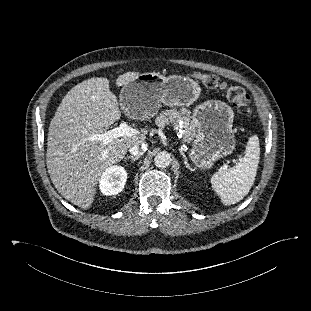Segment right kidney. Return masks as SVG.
I'll use <instances>...</instances> for the list:
<instances>
[{"label":"right kidney","mask_w":311,"mask_h":311,"mask_svg":"<svg viewBox=\"0 0 311 311\" xmlns=\"http://www.w3.org/2000/svg\"><path fill=\"white\" fill-rule=\"evenodd\" d=\"M127 180V172L122 166L107 168L99 180V188L103 195L111 196L120 193Z\"/></svg>","instance_id":"1"}]
</instances>
